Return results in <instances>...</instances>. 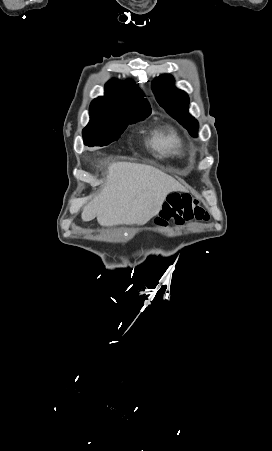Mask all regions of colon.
Returning a JSON list of instances; mask_svg holds the SVG:
<instances>
[{"mask_svg":"<svg viewBox=\"0 0 272 451\" xmlns=\"http://www.w3.org/2000/svg\"><path fill=\"white\" fill-rule=\"evenodd\" d=\"M170 219L176 224H183L193 220L207 221L210 219V215L196 197L173 193L163 205L157 223H166Z\"/></svg>","mask_w":272,"mask_h":451,"instance_id":"colon-1","label":"colon"}]
</instances>
